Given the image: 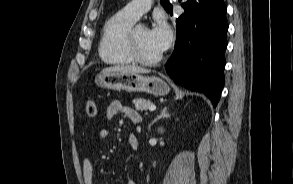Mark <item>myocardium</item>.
Listing matches in <instances>:
<instances>
[{
  "label": "myocardium",
  "mask_w": 293,
  "mask_h": 184,
  "mask_svg": "<svg viewBox=\"0 0 293 184\" xmlns=\"http://www.w3.org/2000/svg\"><path fill=\"white\" fill-rule=\"evenodd\" d=\"M139 26H141V25L133 26L128 33V36H127L128 53H129L131 59L136 63L142 64V65H147V66L155 65L162 60V54H159L155 58L147 59V58L142 57L138 52L136 40H135V31Z\"/></svg>",
  "instance_id": "myocardium-1"
}]
</instances>
